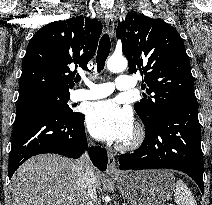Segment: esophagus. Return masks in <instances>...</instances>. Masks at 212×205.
I'll list each match as a JSON object with an SVG mask.
<instances>
[{"label": "esophagus", "mask_w": 212, "mask_h": 205, "mask_svg": "<svg viewBox=\"0 0 212 205\" xmlns=\"http://www.w3.org/2000/svg\"><path fill=\"white\" fill-rule=\"evenodd\" d=\"M105 24L107 31L111 37L114 35V29H115V23H114V16L111 13V11H106L105 15ZM107 173L111 175H117L119 173L117 167H116V159L115 155L110 152L108 155V166H107Z\"/></svg>", "instance_id": "1"}]
</instances>
